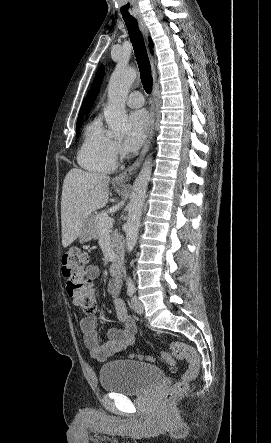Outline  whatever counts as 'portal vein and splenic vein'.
<instances>
[{"mask_svg": "<svg viewBox=\"0 0 271 443\" xmlns=\"http://www.w3.org/2000/svg\"><path fill=\"white\" fill-rule=\"evenodd\" d=\"M100 225H104L105 229H107V227H112L113 220L112 218H109V216H106V218H100Z\"/></svg>", "mask_w": 271, "mask_h": 443, "instance_id": "portal-vein-and-splenic-vein-1", "label": "portal vein and splenic vein"}]
</instances>
